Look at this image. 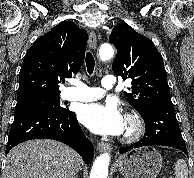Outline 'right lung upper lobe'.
I'll list each match as a JSON object with an SVG mask.
<instances>
[{
	"label": "right lung upper lobe",
	"mask_w": 194,
	"mask_h": 178,
	"mask_svg": "<svg viewBox=\"0 0 194 178\" xmlns=\"http://www.w3.org/2000/svg\"><path fill=\"white\" fill-rule=\"evenodd\" d=\"M86 45L87 32L70 22L39 37L23 60L17 102L59 96L58 84L83 65Z\"/></svg>",
	"instance_id": "cb5924a9"
}]
</instances>
